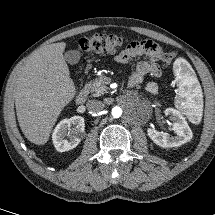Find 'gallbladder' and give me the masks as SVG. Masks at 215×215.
Segmentation results:
<instances>
[{"instance_id": "gallbladder-1", "label": "gallbladder", "mask_w": 215, "mask_h": 215, "mask_svg": "<svg viewBox=\"0 0 215 215\" xmlns=\"http://www.w3.org/2000/svg\"><path fill=\"white\" fill-rule=\"evenodd\" d=\"M65 59L72 65L77 64L80 60V52L77 50H69L65 53Z\"/></svg>"}]
</instances>
